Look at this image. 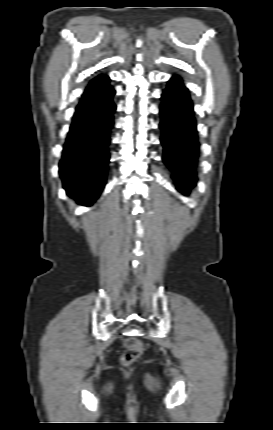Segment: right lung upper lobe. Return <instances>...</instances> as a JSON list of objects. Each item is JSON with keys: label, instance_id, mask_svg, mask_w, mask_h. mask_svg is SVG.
I'll list each match as a JSON object with an SVG mask.
<instances>
[{"label": "right lung upper lobe", "instance_id": "obj_1", "mask_svg": "<svg viewBox=\"0 0 273 430\" xmlns=\"http://www.w3.org/2000/svg\"><path fill=\"white\" fill-rule=\"evenodd\" d=\"M104 75H99L97 78H99V77H103Z\"/></svg>", "mask_w": 273, "mask_h": 430}]
</instances>
